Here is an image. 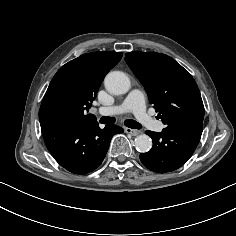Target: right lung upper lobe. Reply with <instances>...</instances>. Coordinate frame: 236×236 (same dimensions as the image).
<instances>
[{
	"mask_svg": "<svg viewBox=\"0 0 236 236\" xmlns=\"http://www.w3.org/2000/svg\"><path fill=\"white\" fill-rule=\"evenodd\" d=\"M122 52H94L63 65L54 75L39 111L40 124L59 119L70 124L96 122L91 107L107 74L122 58Z\"/></svg>",
	"mask_w": 236,
	"mask_h": 236,
	"instance_id": "right-lung-upper-lobe-1",
	"label": "right lung upper lobe"
}]
</instances>
